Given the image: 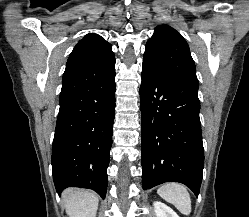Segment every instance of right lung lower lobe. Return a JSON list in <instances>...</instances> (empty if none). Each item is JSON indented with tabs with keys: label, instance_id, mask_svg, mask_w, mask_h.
<instances>
[{
	"label": "right lung lower lobe",
	"instance_id": "1",
	"mask_svg": "<svg viewBox=\"0 0 249 217\" xmlns=\"http://www.w3.org/2000/svg\"><path fill=\"white\" fill-rule=\"evenodd\" d=\"M115 89L114 56L99 64L66 68L52 146V173L58 194L76 186L105 197Z\"/></svg>",
	"mask_w": 249,
	"mask_h": 217
}]
</instances>
